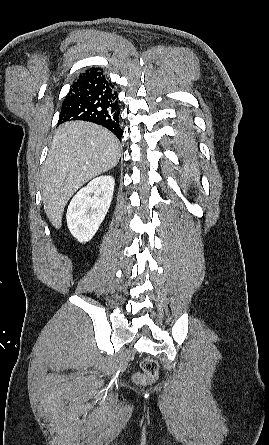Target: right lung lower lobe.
<instances>
[{"label":"right lung lower lobe","instance_id":"1","mask_svg":"<svg viewBox=\"0 0 269 445\" xmlns=\"http://www.w3.org/2000/svg\"><path fill=\"white\" fill-rule=\"evenodd\" d=\"M120 108L114 85L102 70L90 68L73 82L65 97L59 124L84 120L102 125L121 140Z\"/></svg>","mask_w":269,"mask_h":445}]
</instances>
